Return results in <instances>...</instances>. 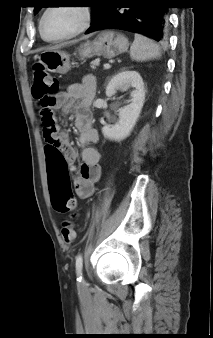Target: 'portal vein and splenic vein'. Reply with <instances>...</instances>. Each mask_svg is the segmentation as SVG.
<instances>
[{
  "instance_id": "obj_1",
  "label": "portal vein and splenic vein",
  "mask_w": 213,
  "mask_h": 338,
  "mask_svg": "<svg viewBox=\"0 0 213 338\" xmlns=\"http://www.w3.org/2000/svg\"><path fill=\"white\" fill-rule=\"evenodd\" d=\"M103 66H104L105 69H109L111 67L110 64H108V63H105Z\"/></svg>"
}]
</instances>
